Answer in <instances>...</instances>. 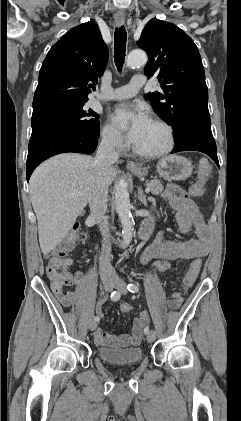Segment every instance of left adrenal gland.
Masks as SVG:
<instances>
[{
  "label": "left adrenal gland",
  "mask_w": 241,
  "mask_h": 421,
  "mask_svg": "<svg viewBox=\"0 0 241 421\" xmlns=\"http://www.w3.org/2000/svg\"><path fill=\"white\" fill-rule=\"evenodd\" d=\"M138 200L144 205V206H148L147 204V198L146 195L143 193L142 188L140 187L138 189Z\"/></svg>",
  "instance_id": "left-adrenal-gland-1"
}]
</instances>
